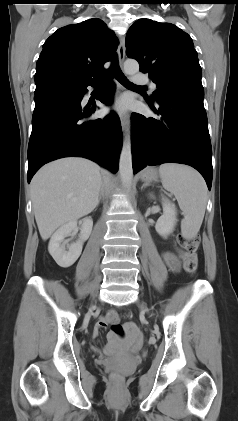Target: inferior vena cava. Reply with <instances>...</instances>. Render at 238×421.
I'll return each mask as SVG.
<instances>
[{"label":"inferior vena cava","instance_id":"obj_1","mask_svg":"<svg viewBox=\"0 0 238 421\" xmlns=\"http://www.w3.org/2000/svg\"><path fill=\"white\" fill-rule=\"evenodd\" d=\"M107 180H108V177L104 176V183L107 182Z\"/></svg>","mask_w":238,"mask_h":421}]
</instances>
